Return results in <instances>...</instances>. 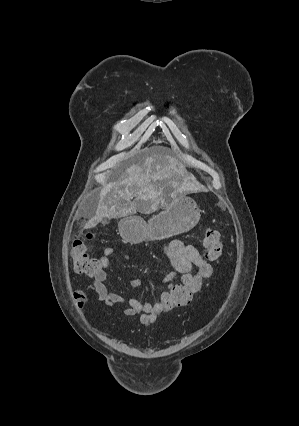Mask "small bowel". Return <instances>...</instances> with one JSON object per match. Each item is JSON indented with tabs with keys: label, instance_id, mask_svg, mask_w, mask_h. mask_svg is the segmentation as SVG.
<instances>
[{
	"label": "small bowel",
	"instance_id": "obj_1",
	"mask_svg": "<svg viewBox=\"0 0 299 426\" xmlns=\"http://www.w3.org/2000/svg\"><path fill=\"white\" fill-rule=\"evenodd\" d=\"M113 253L114 248L107 247L103 251V254L98 258L101 264V270L92 279V285L97 295V299L104 302L108 308H112L114 305H124L125 316L130 317L141 313L140 322L144 325L155 322L159 315L169 312L159 300L155 303L144 302L135 297L125 298L118 293L107 290L105 286V280L107 277L106 268L109 266V257ZM164 253L170 260L173 270L168 272L161 279V284L165 287L163 291L174 286L177 283L179 275L189 274L194 279L195 295L201 289L203 281L212 276V266L193 245L185 244L180 240H172L165 245ZM193 268H196L195 273H192ZM140 285L141 281L139 279L131 281V286L134 288H137Z\"/></svg>",
	"mask_w": 299,
	"mask_h": 426
}]
</instances>
